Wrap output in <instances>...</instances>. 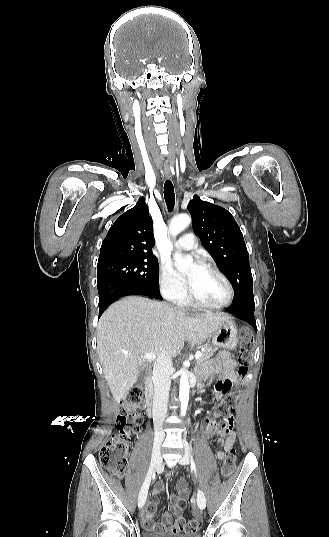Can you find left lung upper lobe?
Wrapping results in <instances>:
<instances>
[{
  "mask_svg": "<svg viewBox=\"0 0 329 537\" xmlns=\"http://www.w3.org/2000/svg\"><path fill=\"white\" fill-rule=\"evenodd\" d=\"M188 210L202 245L232 283L233 306H254L249 254L234 217L226 209L202 201L197 195L189 202Z\"/></svg>",
  "mask_w": 329,
  "mask_h": 537,
  "instance_id": "1",
  "label": "left lung upper lobe"
}]
</instances>
